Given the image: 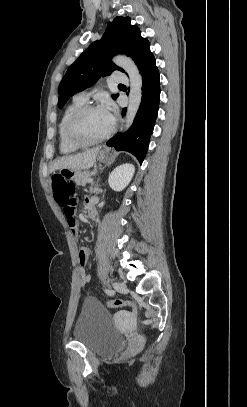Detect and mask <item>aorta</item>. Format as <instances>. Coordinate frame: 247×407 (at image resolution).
Listing matches in <instances>:
<instances>
[{
    "label": "aorta",
    "instance_id": "762f6f07",
    "mask_svg": "<svg viewBox=\"0 0 247 407\" xmlns=\"http://www.w3.org/2000/svg\"><path fill=\"white\" fill-rule=\"evenodd\" d=\"M113 62L123 68L130 79V92H129V104L127 108L125 118V128L128 129L136 116L142 99V76L129 57L119 55L113 59Z\"/></svg>",
    "mask_w": 247,
    "mask_h": 407
}]
</instances>
